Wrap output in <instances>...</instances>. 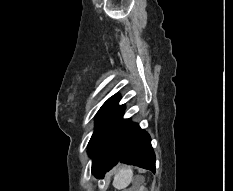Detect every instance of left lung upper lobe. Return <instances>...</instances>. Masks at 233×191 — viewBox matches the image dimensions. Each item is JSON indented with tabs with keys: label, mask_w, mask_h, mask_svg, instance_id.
Wrapping results in <instances>:
<instances>
[{
	"label": "left lung upper lobe",
	"mask_w": 233,
	"mask_h": 191,
	"mask_svg": "<svg viewBox=\"0 0 233 191\" xmlns=\"http://www.w3.org/2000/svg\"><path fill=\"white\" fill-rule=\"evenodd\" d=\"M120 100L119 94H115L109 98L98 111L96 116V128L90 139L88 145V152L90 153L95 142L103 132V130L109 125V123L116 117V115L124 108V105H118Z\"/></svg>",
	"instance_id": "5c2ea615"
}]
</instances>
